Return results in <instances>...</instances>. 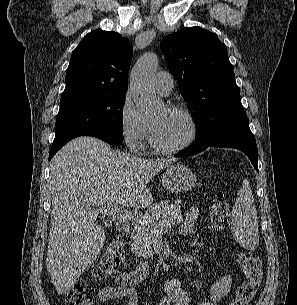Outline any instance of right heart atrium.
Wrapping results in <instances>:
<instances>
[{
    "label": "right heart atrium",
    "instance_id": "1",
    "mask_svg": "<svg viewBox=\"0 0 297 305\" xmlns=\"http://www.w3.org/2000/svg\"><path fill=\"white\" fill-rule=\"evenodd\" d=\"M119 127L122 138L131 151L138 152L144 148L149 127L136 108L130 92L124 95L120 106Z\"/></svg>",
    "mask_w": 297,
    "mask_h": 305
}]
</instances>
